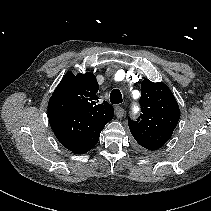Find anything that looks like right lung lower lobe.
I'll return each instance as SVG.
<instances>
[{"label": "right lung lower lobe", "mask_w": 211, "mask_h": 211, "mask_svg": "<svg viewBox=\"0 0 211 211\" xmlns=\"http://www.w3.org/2000/svg\"><path fill=\"white\" fill-rule=\"evenodd\" d=\"M74 108L75 105L71 100L60 97L50 98L48 104V116L53 131L70 129L75 119L73 114ZM99 136L100 132L88 137L84 144L73 153L82 154L91 150L97 144Z\"/></svg>", "instance_id": "98d812e1"}]
</instances>
